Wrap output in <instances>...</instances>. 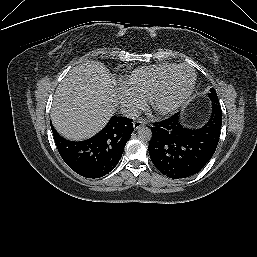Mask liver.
<instances>
[{
    "instance_id": "1",
    "label": "liver",
    "mask_w": 257,
    "mask_h": 257,
    "mask_svg": "<svg viewBox=\"0 0 257 257\" xmlns=\"http://www.w3.org/2000/svg\"><path fill=\"white\" fill-rule=\"evenodd\" d=\"M117 106L115 80L99 61L72 68L59 84L51 109L56 131L70 140H83L108 123Z\"/></svg>"
}]
</instances>
